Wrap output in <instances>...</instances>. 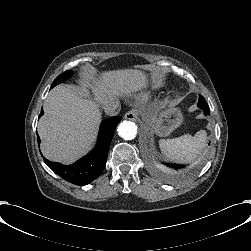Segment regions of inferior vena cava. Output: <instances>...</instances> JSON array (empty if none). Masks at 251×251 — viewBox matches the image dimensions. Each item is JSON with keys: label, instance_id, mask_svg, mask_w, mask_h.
<instances>
[{"label": "inferior vena cava", "instance_id": "obj_1", "mask_svg": "<svg viewBox=\"0 0 251 251\" xmlns=\"http://www.w3.org/2000/svg\"><path fill=\"white\" fill-rule=\"evenodd\" d=\"M120 108L121 104L118 101H111L103 105V109L110 115H115Z\"/></svg>", "mask_w": 251, "mask_h": 251}]
</instances>
